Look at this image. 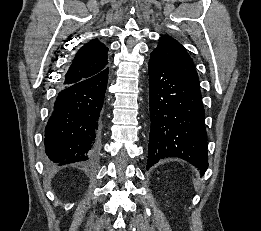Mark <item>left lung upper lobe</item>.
<instances>
[{"mask_svg":"<svg viewBox=\"0 0 261 231\" xmlns=\"http://www.w3.org/2000/svg\"><path fill=\"white\" fill-rule=\"evenodd\" d=\"M151 55L159 58L169 69L185 81L200 88L199 79L192 59L185 48L174 38L163 36Z\"/></svg>","mask_w":261,"mask_h":231,"instance_id":"obj_1","label":"left lung upper lobe"}]
</instances>
